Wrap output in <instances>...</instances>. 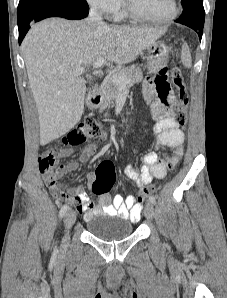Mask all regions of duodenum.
I'll list each match as a JSON object with an SVG mask.
<instances>
[{
    "label": "duodenum",
    "mask_w": 227,
    "mask_h": 298,
    "mask_svg": "<svg viewBox=\"0 0 227 298\" xmlns=\"http://www.w3.org/2000/svg\"><path fill=\"white\" fill-rule=\"evenodd\" d=\"M102 102V95L98 89H94L90 92L88 96V105L91 108H95L99 106Z\"/></svg>",
    "instance_id": "1"
}]
</instances>
